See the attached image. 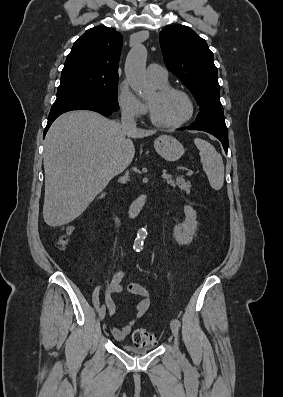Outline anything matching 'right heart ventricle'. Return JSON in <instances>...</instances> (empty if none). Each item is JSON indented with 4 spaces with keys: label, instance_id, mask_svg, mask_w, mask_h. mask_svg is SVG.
<instances>
[{
    "label": "right heart ventricle",
    "instance_id": "obj_1",
    "mask_svg": "<svg viewBox=\"0 0 283 397\" xmlns=\"http://www.w3.org/2000/svg\"><path fill=\"white\" fill-rule=\"evenodd\" d=\"M152 82H153L154 86H155L157 89L162 88V87H165V86L168 85L167 80L164 81V82H157V81H152Z\"/></svg>",
    "mask_w": 283,
    "mask_h": 397
}]
</instances>
